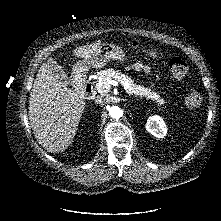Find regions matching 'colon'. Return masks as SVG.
<instances>
[{
    "label": "colon",
    "mask_w": 221,
    "mask_h": 221,
    "mask_svg": "<svg viewBox=\"0 0 221 221\" xmlns=\"http://www.w3.org/2000/svg\"><path fill=\"white\" fill-rule=\"evenodd\" d=\"M134 49H137V44L133 45ZM145 53L154 59L160 58L162 55L155 50H148ZM168 66L170 73L176 78H182L186 75L188 67L186 62L178 56H170L168 60ZM186 105L190 108H198L203 103V96L200 92L193 90L186 97Z\"/></svg>",
    "instance_id": "colon-1"
}]
</instances>
